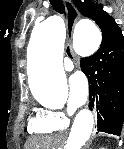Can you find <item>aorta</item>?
<instances>
[{"mask_svg": "<svg viewBox=\"0 0 124 149\" xmlns=\"http://www.w3.org/2000/svg\"><path fill=\"white\" fill-rule=\"evenodd\" d=\"M65 25L54 15L37 24L28 46V71L30 89L35 99L44 105L67 97V81L63 69ZM102 35L89 19H81L75 26L73 46L77 53L89 55L100 46ZM94 125L90 110H81L72 125L66 149H81L89 139Z\"/></svg>", "mask_w": 124, "mask_h": 149, "instance_id": "762f6f07", "label": "aorta"}]
</instances>
